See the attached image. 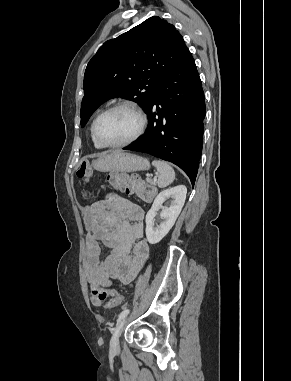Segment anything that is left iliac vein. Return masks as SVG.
I'll use <instances>...</instances> for the list:
<instances>
[{
    "label": "left iliac vein",
    "mask_w": 291,
    "mask_h": 381,
    "mask_svg": "<svg viewBox=\"0 0 291 381\" xmlns=\"http://www.w3.org/2000/svg\"><path fill=\"white\" fill-rule=\"evenodd\" d=\"M127 319L128 318L125 316L118 322L117 326L115 327V330L111 339V343H110L111 349L113 350H116L119 348V337L121 333L123 332Z\"/></svg>",
    "instance_id": "left-iliac-vein-1"
}]
</instances>
